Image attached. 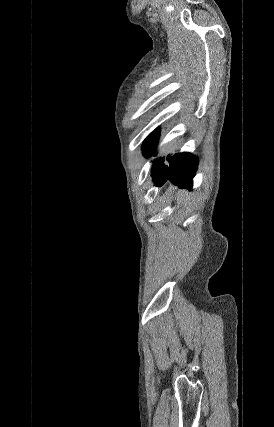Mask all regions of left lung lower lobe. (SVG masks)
<instances>
[{"label":"left lung lower lobe","mask_w":274,"mask_h":427,"mask_svg":"<svg viewBox=\"0 0 274 427\" xmlns=\"http://www.w3.org/2000/svg\"><path fill=\"white\" fill-rule=\"evenodd\" d=\"M158 132H153L143 143V150L145 156L153 154L157 145ZM169 166L163 165V160H156L153 165V179L162 186L166 181L170 180L173 184L178 185L180 188L190 189L192 186V179L196 173L198 160L195 156L189 153L176 154L174 157H167Z\"/></svg>","instance_id":"1"}]
</instances>
